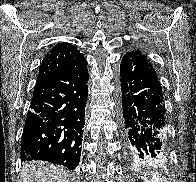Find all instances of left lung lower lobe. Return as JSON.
Masks as SVG:
<instances>
[{
    "label": "left lung lower lobe",
    "instance_id": "0a47b994",
    "mask_svg": "<svg viewBox=\"0 0 196 182\" xmlns=\"http://www.w3.org/2000/svg\"><path fill=\"white\" fill-rule=\"evenodd\" d=\"M120 76L128 156L134 159L163 157L166 153L165 105L154 68L125 54Z\"/></svg>",
    "mask_w": 196,
    "mask_h": 182
}]
</instances>
